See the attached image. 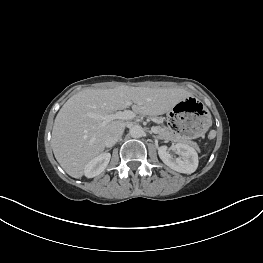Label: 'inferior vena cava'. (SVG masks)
<instances>
[{
	"mask_svg": "<svg viewBox=\"0 0 263 263\" xmlns=\"http://www.w3.org/2000/svg\"><path fill=\"white\" fill-rule=\"evenodd\" d=\"M124 129H114L112 130L108 137L106 138L105 144L106 146H112L118 142L123 134Z\"/></svg>",
	"mask_w": 263,
	"mask_h": 263,
	"instance_id": "1",
	"label": "inferior vena cava"
}]
</instances>
